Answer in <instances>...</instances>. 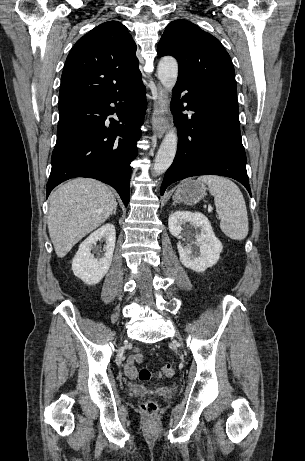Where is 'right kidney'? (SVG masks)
Masks as SVG:
<instances>
[{"label": "right kidney", "instance_id": "ca27d5eb", "mask_svg": "<svg viewBox=\"0 0 305 461\" xmlns=\"http://www.w3.org/2000/svg\"><path fill=\"white\" fill-rule=\"evenodd\" d=\"M102 238L106 240V245L104 246L105 253L104 256L98 260L91 254V250L93 245ZM115 241V227L110 223L103 225L90 234V236L80 244L72 261L74 275L88 285L99 283L111 266Z\"/></svg>", "mask_w": 305, "mask_h": 461}]
</instances>
